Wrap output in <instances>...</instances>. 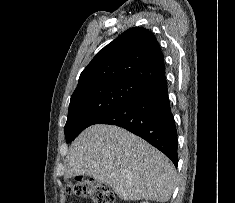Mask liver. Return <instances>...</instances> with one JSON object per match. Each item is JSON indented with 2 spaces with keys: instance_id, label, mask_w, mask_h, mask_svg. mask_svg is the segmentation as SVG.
<instances>
[{
  "instance_id": "obj_1",
  "label": "liver",
  "mask_w": 235,
  "mask_h": 203,
  "mask_svg": "<svg viewBox=\"0 0 235 203\" xmlns=\"http://www.w3.org/2000/svg\"><path fill=\"white\" fill-rule=\"evenodd\" d=\"M90 176L107 183L127 201L167 202L176 170L160 151L133 133L113 125L96 124L71 144L66 178Z\"/></svg>"
}]
</instances>
